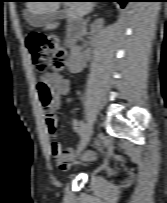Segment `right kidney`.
Returning a JSON list of instances; mask_svg holds the SVG:
<instances>
[{
	"mask_svg": "<svg viewBox=\"0 0 167 203\" xmlns=\"http://www.w3.org/2000/svg\"><path fill=\"white\" fill-rule=\"evenodd\" d=\"M104 24V20L102 18L97 19L92 27L97 32L101 31ZM89 51L82 52L80 48L74 47L71 51V55L68 60V69L71 73H79L81 72L89 59Z\"/></svg>",
	"mask_w": 167,
	"mask_h": 203,
	"instance_id": "ca27d5eb",
	"label": "right kidney"
}]
</instances>
